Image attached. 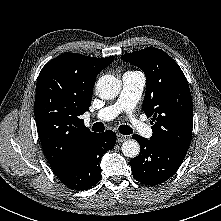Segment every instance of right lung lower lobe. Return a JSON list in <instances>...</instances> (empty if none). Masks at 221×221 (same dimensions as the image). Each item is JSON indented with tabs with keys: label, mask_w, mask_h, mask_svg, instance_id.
Segmentation results:
<instances>
[{
	"label": "right lung lower lobe",
	"mask_w": 221,
	"mask_h": 221,
	"mask_svg": "<svg viewBox=\"0 0 221 221\" xmlns=\"http://www.w3.org/2000/svg\"><path fill=\"white\" fill-rule=\"evenodd\" d=\"M116 134L107 130L104 133H92L80 147L77 158L72 165L60 175L59 180L72 190H85L94 186L102 177L100 159L102 155L114 148Z\"/></svg>",
	"instance_id": "98d812e1"
}]
</instances>
